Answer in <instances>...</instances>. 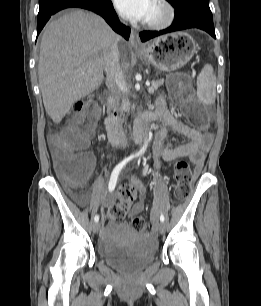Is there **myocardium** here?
Here are the masks:
<instances>
[{
    "instance_id": "obj_1",
    "label": "myocardium",
    "mask_w": 261,
    "mask_h": 306,
    "mask_svg": "<svg viewBox=\"0 0 261 306\" xmlns=\"http://www.w3.org/2000/svg\"><path fill=\"white\" fill-rule=\"evenodd\" d=\"M160 9L159 17L152 20H144L143 26L147 29L158 30L170 26L175 19V9L168 0H154Z\"/></svg>"
}]
</instances>
